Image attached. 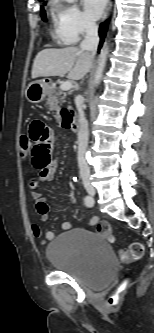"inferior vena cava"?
<instances>
[{
    "label": "inferior vena cava",
    "instance_id": "inferior-vena-cava-1",
    "mask_svg": "<svg viewBox=\"0 0 154 333\" xmlns=\"http://www.w3.org/2000/svg\"><path fill=\"white\" fill-rule=\"evenodd\" d=\"M84 28L86 35L80 44V49L89 51L91 53V57L93 58L99 43L98 27L93 22H86ZM76 107L79 113L78 166L80 174H89L90 168L85 158L89 139L88 121L85 118L83 111V99L80 95L76 97Z\"/></svg>",
    "mask_w": 154,
    "mask_h": 333
}]
</instances>
